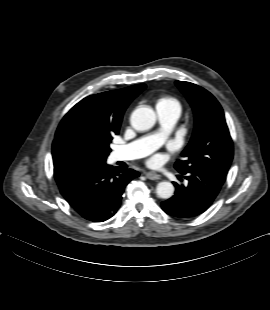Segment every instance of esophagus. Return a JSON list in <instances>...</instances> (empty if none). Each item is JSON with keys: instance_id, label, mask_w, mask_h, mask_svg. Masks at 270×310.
I'll return each instance as SVG.
<instances>
[{"instance_id": "1", "label": "esophagus", "mask_w": 270, "mask_h": 310, "mask_svg": "<svg viewBox=\"0 0 270 310\" xmlns=\"http://www.w3.org/2000/svg\"><path fill=\"white\" fill-rule=\"evenodd\" d=\"M146 177L150 180H159L161 176L155 172H147Z\"/></svg>"}]
</instances>
